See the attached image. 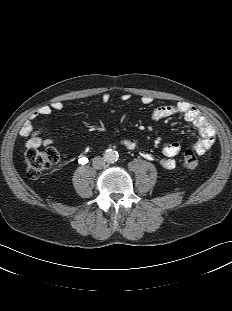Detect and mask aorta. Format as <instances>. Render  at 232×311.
Masks as SVG:
<instances>
[{"label":"aorta","mask_w":232,"mask_h":311,"mask_svg":"<svg viewBox=\"0 0 232 311\" xmlns=\"http://www.w3.org/2000/svg\"><path fill=\"white\" fill-rule=\"evenodd\" d=\"M103 155L107 163H114L119 158L118 152L113 149H107Z\"/></svg>","instance_id":"762f6f07"}]
</instances>
